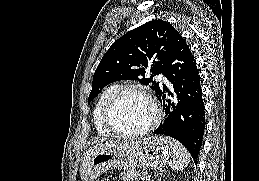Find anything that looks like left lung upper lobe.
Returning a JSON list of instances; mask_svg holds the SVG:
<instances>
[{
    "label": "left lung upper lobe",
    "instance_id": "obj_1",
    "mask_svg": "<svg viewBox=\"0 0 259 181\" xmlns=\"http://www.w3.org/2000/svg\"><path fill=\"white\" fill-rule=\"evenodd\" d=\"M179 32L163 20L149 21L116 40L101 59L93 76L90 103L108 84L118 80H138L149 85L157 96L162 85L152 80L153 75L168 69L173 43ZM150 71L153 75L145 78Z\"/></svg>",
    "mask_w": 259,
    "mask_h": 181
}]
</instances>
